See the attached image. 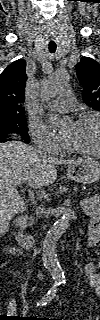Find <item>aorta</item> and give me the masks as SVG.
Instances as JSON below:
<instances>
[{
  "mask_svg": "<svg viewBox=\"0 0 100 320\" xmlns=\"http://www.w3.org/2000/svg\"><path fill=\"white\" fill-rule=\"evenodd\" d=\"M68 81V73L65 70H56L48 75L42 82L41 96L44 101L54 98ZM47 121L51 128L60 130L68 125V121L54 112L47 113ZM70 215L66 211L62 214L47 232L43 241L42 260L50 271L53 279L63 280L64 272L57 258V243L62 234L69 227Z\"/></svg>",
  "mask_w": 100,
  "mask_h": 320,
  "instance_id": "1",
  "label": "aorta"
}]
</instances>
